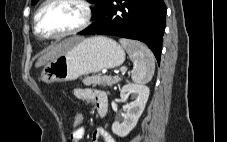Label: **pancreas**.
Segmentation results:
<instances>
[{
  "instance_id": "cf45deb5",
  "label": "pancreas",
  "mask_w": 227,
  "mask_h": 142,
  "mask_svg": "<svg viewBox=\"0 0 227 142\" xmlns=\"http://www.w3.org/2000/svg\"><path fill=\"white\" fill-rule=\"evenodd\" d=\"M121 80V78L119 76H106V75H92V76H84V78L82 79V82L86 85V86H96V85H100V86H112L113 84L118 83Z\"/></svg>"
}]
</instances>
